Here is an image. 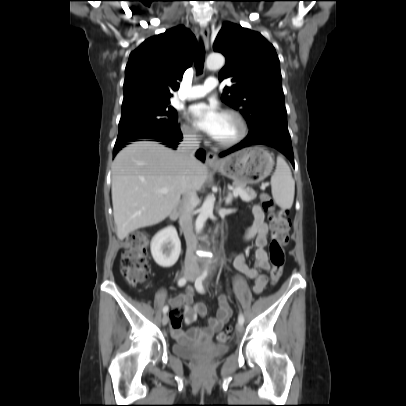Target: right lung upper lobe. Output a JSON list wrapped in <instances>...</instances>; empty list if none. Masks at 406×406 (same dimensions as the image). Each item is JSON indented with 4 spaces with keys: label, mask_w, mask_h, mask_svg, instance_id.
<instances>
[{
    "label": "right lung upper lobe",
    "mask_w": 406,
    "mask_h": 406,
    "mask_svg": "<svg viewBox=\"0 0 406 406\" xmlns=\"http://www.w3.org/2000/svg\"><path fill=\"white\" fill-rule=\"evenodd\" d=\"M195 36L179 26L145 40L131 52L125 69L122 107L145 101L170 102L191 66Z\"/></svg>",
    "instance_id": "obj_1"
}]
</instances>
